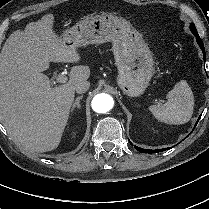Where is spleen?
I'll return each mask as SVG.
<instances>
[{"instance_id":"1","label":"spleen","mask_w":209,"mask_h":209,"mask_svg":"<svg viewBox=\"0 0 209 209\" xmlns=\"http://www.w3.org/2000/svg\"><path fill=\"white\" fill-rule=\"evenodd\" d=\"M168 100L162 105L150 106V111L156 119L166 124H184L193 114L194 96L188 83L178 82L167 94Z\"/></svg>"}]
</instances>
